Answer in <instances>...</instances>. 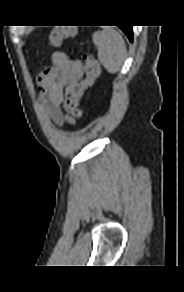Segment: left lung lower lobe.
<instances>
[{"mask_svg":"<svg viewBox=\"0 0 184 292\" xmlns=\"http://www.w3.org/2000/svg\"><path fill=\"white\" fill-rule=\"evenodd\" d=\"M123 32L127 35L130 41H132V26H119Z\"/></svg>","mask_w":184,"mask_h":292,"instance_id":"0a47b994","label":"left lung lower lobe"}]
</instances>
